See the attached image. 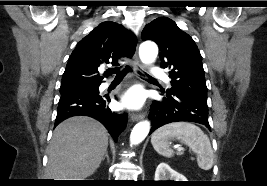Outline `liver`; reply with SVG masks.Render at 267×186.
<instances>
[{"label": "liver", "mask_w": 267, "mask_h": 186, "mask_svg": "<svg viewBox=\"0 0 267 186\" xmlns=\"http://www.w3.org/2000/svg\"><path fill=\"white\" fill-rule=\"evenodd\" d=\"M108 147V133L98 121L71 117L54 130L45 176L54 180H84L99 167Z\"/></svg>", "instance_id": "liver-1"}]
</instances>
